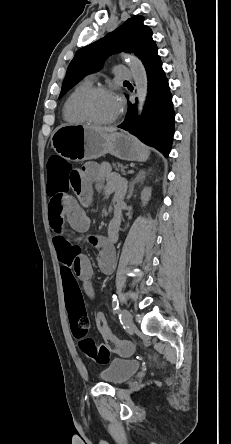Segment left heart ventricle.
<instances>
[{"label": "left heart ventricle", "instance_id": "left-heart-ventricle-1", "mask_svg": "<svg viewBox=\"0 0 231 444\" xmlns=\"http://www.w3.org/2000/svg\"><path fill=\"white\" fill-rule=\"evenodd\" d=\"M90 110L93 117L99 121L110 120L119 112L114 96L107 93L95 95L90 102Z\"/></svg>", "mask_w": 231, "mask_h": 444}]
</instances>
